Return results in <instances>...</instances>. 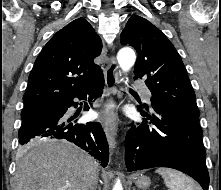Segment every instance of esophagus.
<instances>
[{"label": "esophagus", "mask_w": 221, "mask_h": 190, "mask_svg": "<svg viewBox=\"0 0 221 190\" xmlns=\"http://www.w3.org/2000/svg\"><path fill=\"white\" fill-rule=\"evenodd\" d=\"M104 75H105V86H106V94H105L106 102H110L112 98L116 95L117 92L116 84L119 79L118 64L114 56L109 57ZM101 123L105 131L109 147L113 152L117 144L116 142L117 124L113 110H110L104 114Z\"/></svg>", "instance_id": "esophagus-1"}]
</instances>
